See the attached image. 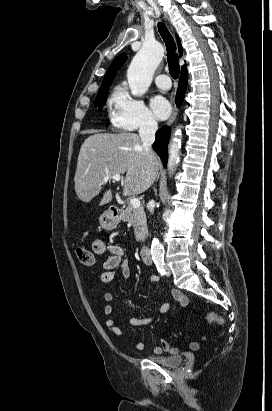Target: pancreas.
<instances>
[{
    "instance_id": "pancreas-1",
    "label": "pancreas",
    "mask_w": 272,
    "mask_h": 411,
    "mask_svg": "<svg viewBox=\"0 0 272 411\" xmlns=\"http://www.w3.org/2000/svg\"><path fill=\"white\" fill-rule=\"evenodd\" d=\"M122 221L130 223L134 228L137 241H143L147 235V222L144 207L133 208L130 204L122 215Z\"/></svg>"
}]
</instances>
